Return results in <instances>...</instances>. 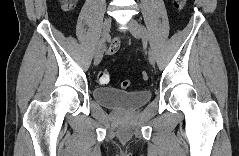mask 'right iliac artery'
<instances>
[{
  "label": "right iliac artery",
  "mask_w": 239,
  "mask_h": 156,
  "mask_svg": "<svg viewBox=\"0 0 239 156\" xmlns=\"http://www.w3.org/2000/svg\"><path fill=\"white\" fill-rule=\"evenodd\" d=\"M103 44H104V40L101 39V40L99 41L98 45H97L96 50H95V55L98 54V52H99L100 49L102 48Z\"/></svg>",
  "instance_id": "1"
}]
</instances>
